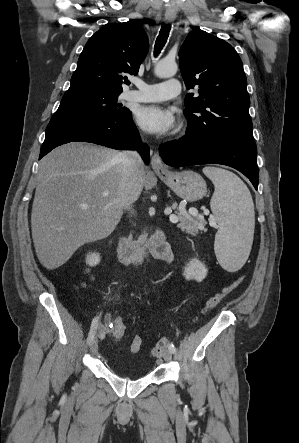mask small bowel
I'll list each match as a JSON object with an SVG mask.
<instances>
[{
  "instance_id": "c3829d8e",
  "label": "small bowel",
  "mask_w": 299,
  "mask_h": 443,
  "mask_svg": "<svg viewBox=\"0 0 299 443\" xmlns=\"http://www.w3.org/2000/svg\"><path fill=\"white\" fill-rule=\"evenodd\" d=\"M161 259H163V260H165V261L170 263V262L173 261V256L169 252L167 255H165ZM110 327H111V314H110V312H107L106 315H105L104 321L102 323H100V325H99V330H98L99 338L103 339L107 335H109Z\"/></svg>"
}]
</instances>
